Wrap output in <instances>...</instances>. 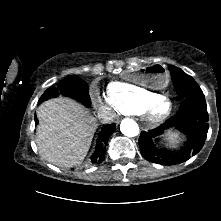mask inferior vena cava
I'll return each instance as SVG.
<instances>
[{"label":"inferior vena cava","mask_w":221,"mask_h":221,"mask_svg":"<svg viewBox=\"0 0 221 221\" xmlns=\"http://www.w3.org/2000/svg\"><path fill=\"white\" fill-rule=\"evenodd\" d=\"M115 114L107 108H100L98 111V118L102 123L113 122Z\"/></svg>","instance_id":"1"}]
</instances>
